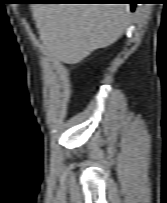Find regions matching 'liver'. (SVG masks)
Instances as JSON below:
<instances>
[{
    "label": "liver",
    "mask_w": 167,
    "mask_h": 203,
    "mask_svg": "<svg viewBox=\"0 0 167 203\" xmlns=\"http://www.w3.org/2000/svg\"><path fill=\"white\" fill-rule=\"evenodd\" d=\"M32 9L44 46L66 64L113 44L129 24V7L123 4H35Z\"/></svg>",
    "instance_id": "obj_1"
}]
</instances>
